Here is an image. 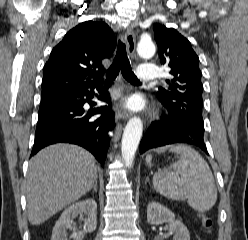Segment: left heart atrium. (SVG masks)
<instances>
[{
	"label": "left heart atrium",
	"instance_id": "39dd6f15",
	"mask_svg": "<svg viewBox=\"0 0 248 240\" xmlns=\"http://www.w3.org/2000/svg\"><path fill=\"white\" fill-rule=\"evenodd\" d=\"M127 106L131 109L137 110L142 108L143 104L139 96L134 95L130 97L127 101Z\"/></svg>",
	"mask_w": 248,
	"mask_h": 240
}]
</instances>
